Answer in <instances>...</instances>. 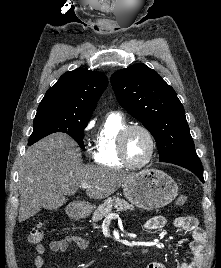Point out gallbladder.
Masks as SVG:
<instances>
[{
  "label": "gallbladder",
  "instance_id": "1",
  "mask_svg": "<svg viewBox=\"0 0 221 268\" xmlns=\"http://www.w3.org/2000/svg\"><path fill=\"white\" fill-rule=\"evenodd\" d=\"M64 201L65 199H47L46 202L41 205V210H56L64 203Z\"/></svg>",
  "mask_w": 221,
  "mask_h": 268
}]
</instances>
